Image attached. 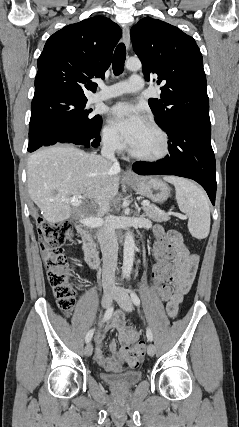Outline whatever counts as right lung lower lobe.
Returning <instances> with one entry per match:
<instances>
[{
    "instance_id": "1",
    "label": "right lung lower lobe",
    "mask_w": 239,
    "mask_h": 427,
    "mask_svg": "<svg viewBox=\"0 0 239 427\" xmlns=\"http://www.w3.org/2000/svg\"><path fill=\"white\" fill-rule=\"evenodd\" d=\"M101 126H102V119L100 120L99 124L96 126L94 131L91 132L89 138L86 140H74V139H71L66 134L58 137L50 135V136H46L39 146L32 149H28V151L33 152L43 146H49V145H54L59 143L77 145L83 148L97 147L100 142L99 130L101 129Z\"/></svg>"
}]
</instances>
